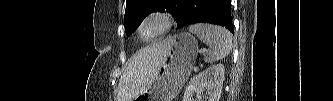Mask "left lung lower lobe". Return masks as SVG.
<instances>
[{"mask_svg": "<svg viewBox=\"0 0 333 101\" xmlns=\"http://www.w3.org/2000/svg\"><path fill=\"white\" fill-rule=\"evenodd\" d=\"M183 12L177 29L194 23L224 26L234 34L231 19V0H179Z\"/></svg>", "mask_w": 333, "mask_h": 101, "instance_id": "left-lung-lower-lobe-1", "label": "left lung lower lobe"}]
</instances>
